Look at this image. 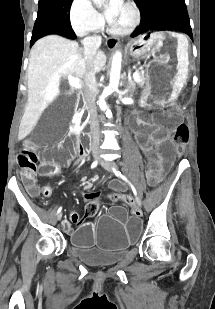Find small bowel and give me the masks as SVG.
Returning a JSON list of instances; mask_svg holds the SVG:
<instances>
[{"label":"small bowel","instance_id":"1","mask_svg":"<svg viewBox=\"0 0 215 309\" xmlns=\"http://www.w3.org/2000/svg\"><path fill=\"white\" fill-rule=\"evenodd\" d=\"M28 190H29V193H30L31 196H37V195L39 194V189H38V187L34 184V182L28 186ZM131 205H132L133 209H138V208L134 205L133 202H132ZM132 211H133V210H132Z\"/></svg>","mask_w":215,"mask_h":309}]
</instances>
